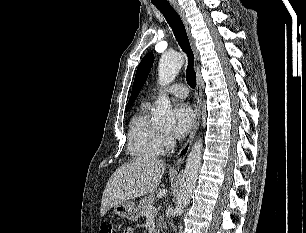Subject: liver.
I'll list each match as a JSON object with an SVG mask.
<instances>
[{"label": "liver", "mask_w": 306, "mask_h": 233, "mask_svg": "<svg viewBox=\"0 0 306 233\" xmlns=\"http://www.w3.org/2000/svg\"><path fill=\"white\" fill-rule=\"evenodd\" d=\"M165 164L154 158H135L115 170L102 195L100 214L116 204L152 194L160 185Z\"/></svg>", "instance_id": "liver-1"}]
</instances>
